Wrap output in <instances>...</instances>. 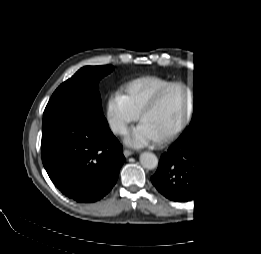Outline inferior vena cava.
<instances>
[{
  "label": "inferior vena cava",
  "instance_id": "602c4592",
  "mask_svg": "<svg viewBox=\"0 0 261 254\" xmlns=\"http://www.w3.org/2000/svg\"><path fill=\"white\" fill-rule=\"evenodd\" d=\"M110 127L114 133H120L125 129L124 123L118 120H111Z\"/></svg>",
  "mask_w": 261,
  "mask_h": 254
}]
</instances>
